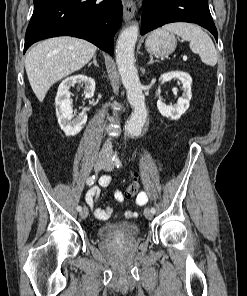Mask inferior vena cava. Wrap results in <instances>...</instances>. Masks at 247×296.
<instances>
[{
    "instance_id": "obj_1",
    "label": "inferior vena cava",
    "mask_w": 247,
    "mask_h": 296,
    "mask_svg": "<svg viewBox=\"0 0 247 296\" xmlns=\"http://www.w3.org/2000/svg\"><path fill=\"white\" fill-rule=\"evenodd\" d=\"M111 149V142L107 140L103 146V151H109Z\"/></svg>"
}]
</instances>
